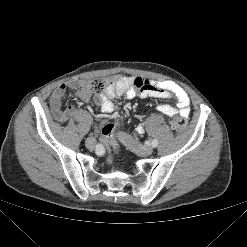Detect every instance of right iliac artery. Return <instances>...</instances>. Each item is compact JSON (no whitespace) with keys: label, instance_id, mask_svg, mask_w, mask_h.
Returning <instances> with one entry per match:
<instances>
[{"label":"right iliac artery","instance_id":"right-iliac-artery-1","mask_svg":"<svg viewBox=\"0 0 247 247\" xmlns=\"http://www.w3.org/2000/svg\"><path fill=\"white\" fill-rule=\"evenodd\" d=\"M95 153H96L97 156L102 157V156L105 155L106 150H105L104 147L99 146V147L96 148Z\"/></svg>","mask_w":247,"mask_h":247}]
</instances>
